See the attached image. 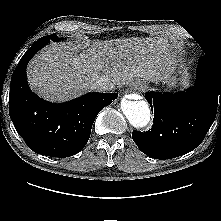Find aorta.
I'll return each instance as SVG.
<instances>
[{
  "label": "aorta",
  "mask_w": 221,
  "mask_h": 221,
  "mask_svg": "<svg viewBox=\"0 0 221 221\" xmlns=\"http://www.w3.org/2000/svg\"><path fill=\"white\" fill-rule=\"evenodd\" d=\"M121 110L129 123L135 128H143L150 121V109L144 100L131 101L123 98L121 100Z\"/></svg>",
  "instance_id": "obj_1"
}]
</instances>
